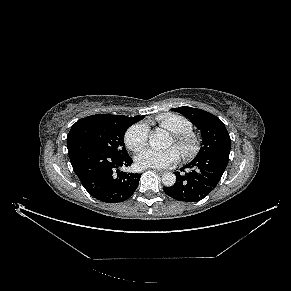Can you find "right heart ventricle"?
Instances as JSON below:
<instances>
[{
  "mask_svg": "<svg viewBox=\"0 0 291 291\" xmlns=\"http://www.w3.org/2000/svg\"><path fill=\"white\" fill-rule=\"evenodd\" d=\"M156 122L173 134L190 131L192 128L190 120L174 113L159 115L156 117Z\"/></svg>",
  "mask_w": 291,
  "mask_h": 291,
  "instance_id": "1",
  "label": "right heart ventricle"
}]
</instances>
